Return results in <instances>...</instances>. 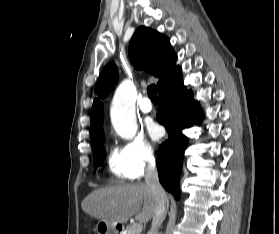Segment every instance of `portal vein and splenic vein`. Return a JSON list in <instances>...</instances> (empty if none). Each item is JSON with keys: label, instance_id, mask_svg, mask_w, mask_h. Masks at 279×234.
<instances>
[{"label": "portal vein and splenic vein", "instance_id": "portal-vein-and-splenic-vein-1", "mask_svg": "<svg viewBox=\"0 0 279 234\" xmlns=\"http://www.w3.org/2000/svg\"><path fill=\"white\" fill-rule=\"evenodd\" d=\"M142 228H143V226H142L141 223H134L132 225V232L133 233H140L142 231Z\"/></svg>", "mask_w": 279, "mask_h": 234}]
</instances>
